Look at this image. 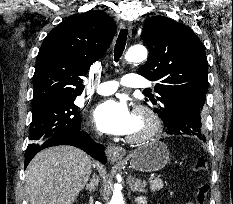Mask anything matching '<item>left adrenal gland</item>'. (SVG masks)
<instances>
[{
	"mask_svg": "<svg viewBox=\"0 0 233 204\" xmlns=\"http://www.w3.org/2000/svg\"><path fill=\"white\" fill-rule=\"evenodd\" d=\"M129 185L130 188L133 192H140V193H144L145 191V181L139 180V179H135V177L130 176L129 177Z\"/></svg>",
	"mask_w": 233,
	"mask_h": 204,
	"instance_id": "1",
	"label": "left adrenal gland"
}]
</instances>
